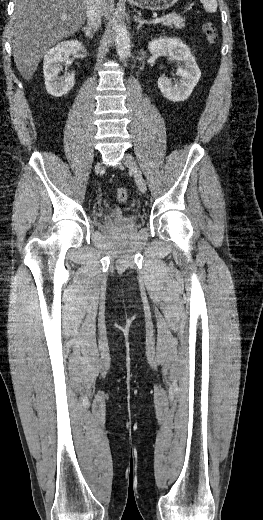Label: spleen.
<instances>
[{"label": "spleen", "mask_w": 263, "mask_h": 520, "mask_svg": "<svg viewBox=\"0 0 263 520\" xmlns=\"http://www.w3.org/2000/svg\"><path fill=\"white\" fill-rule=\"evenodd\" d=\"M206 12L215 13L217 10V0H200Z\"/></svg>", "instance_id": "spleen-1"}]
</instances>
